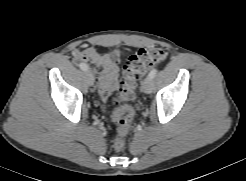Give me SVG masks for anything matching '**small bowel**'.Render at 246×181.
<instances>
[{
	"mask_svg": "<svg viewBox=\"0 0 246 181\" xmlns=\"http://www.w3.org/2000/svg\"><path fill=\"white\" fill-rule=\"evenodd\" d=\"M73 57L77 61L90 62L97 73L96 88L103 100H106L117 87L119 78L118 62L122 57L120 50L101 53L96 47H88L83 50L75 49Z\"/></svg>",
	"mask_w": 246,
	"mask_h": 181,
	"instance_id": "small-bowel-1",
	"label": "small bowel"
}]
</instances>
